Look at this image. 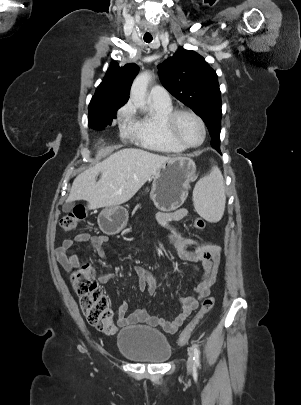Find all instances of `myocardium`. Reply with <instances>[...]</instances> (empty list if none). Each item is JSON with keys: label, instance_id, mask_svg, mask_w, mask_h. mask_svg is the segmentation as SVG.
I'll list each match as a JSON object with an SVG mask.
<instances>
[{"label": "myocardium", "instance_id": "myocardium-1", "mask_svg": "<svg viewBox=\"0 0 301 405\" xmlns=\"http://www.w3.org/2000/svg\"><path fill=\"white\" fill-rule=\"evenodd\" d=\"M183 115H190L192 116L200 125L202 130V138L198 144L190 145L186 143L178 134L177 131V124L181 116ZM163 127L165 132L170 136L174 141H176L179 145L184 147L185 149H195L200 147L206 139V125L203 119L194 111L188 109H179L173 110L170 114H168L163 122Z\"/></svg>", "mask_w": 301, "mask_h": 405}]
</instances>
